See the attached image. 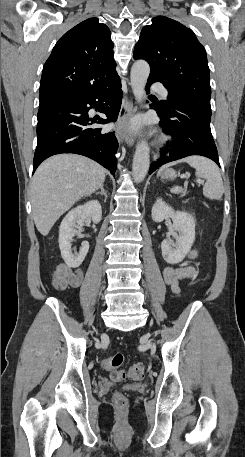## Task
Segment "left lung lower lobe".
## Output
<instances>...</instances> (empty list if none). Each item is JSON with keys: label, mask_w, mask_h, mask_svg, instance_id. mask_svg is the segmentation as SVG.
Listing matches in <instances>:
<instances>
[{"label": "left lung lower lobe", "mask_w": 245, "mask_h": 457, "mask_svg": "<svg viewBox=\"0 0 245 457\" xmlns=\"http://www.w3.org/2000/svg\"><path fill=\"white\" fill-rule=\"evenodd\" d=\"M154 82H159V80L148 78L146 84L148 93L149 85ZM150 107L156 110L161 118L160 126L165 133L172 136V141L163 149L161 157L151 164L149 174L163 164L191 155L205 156L220 166L217 148L210 129L211 110L193 109L183 105H178L174 109H166L160 103L151 104Z\"/></svg>", "instance_id": "0a47b994"}]
</instances>
